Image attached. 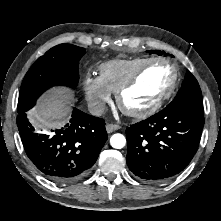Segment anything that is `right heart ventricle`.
Segmentation results:
<instances>
[{
    "instance_id": "1",
    "label": "right heart ventricle",
    "mask_w": 221,
    "mask_h": 221,
    "mask_svg": "<svg viewBox=\"0 0 221 221\" xmlns=\"http://www.w3.org/2000/svg\"><path fill=\"white\" fill-rule=\"evenodd\" d=\"M150 58L113 59L99 66V77L111 92L117 89Z\"/></svg>"
}]
</instances>
